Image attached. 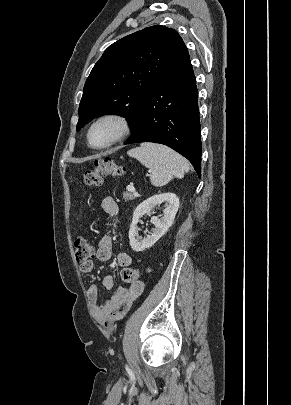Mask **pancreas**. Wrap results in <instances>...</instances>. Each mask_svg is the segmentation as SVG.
<instances>
[{
    "mask_svg": "<svg viewBox=\"0 0 291 405\" xmlns=\"http://www.w3.org/2000/svg\"><path fill=\"white\" fill-rule=\"evenodd\" d=\"M123 198L125 201H131L137 198L136 194H133L131 192H124L123 193Z\"/></svg>",
    "mask_w": 291,
    "mask_h": 405,
    "instance_id": "pancreas-1",
    "label": "pancreas"
}]
</instances>
